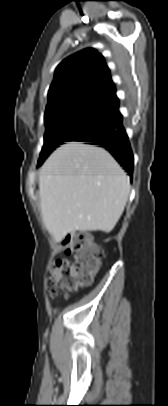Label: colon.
<instances>
[{"mask_svg":"<svg viewBox=\"0 0 168 406\" xmlns=\"http://www.w3.org/2000/svg\"><path fill=\"white\" fill-rule=\"evenodd\" d=\"M64 252L71 259H58L51 266L47 290L52 296L89 285L99 269L102 250L86 233L71 232L62 240Z\"/></svg>","mask_w":168,"mask_h":406,"instance_id":"5ec220e1","label":"colon"}]
</instances>
